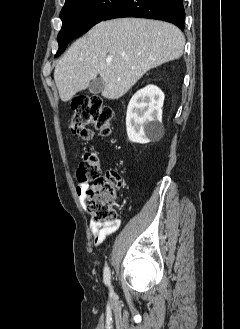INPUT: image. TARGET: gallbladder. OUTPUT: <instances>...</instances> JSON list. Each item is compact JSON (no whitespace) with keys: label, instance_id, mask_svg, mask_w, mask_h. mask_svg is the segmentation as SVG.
Masks as SVG:
<instances>
[{"label":"gallbladder","instance_id":"1","mask_svg":"<svg viewBox=\"0 0 240 329\" xmlns=\"http://www.w3.org/2000/svg\"><path fill=\"white\" fill-rule=\"evenodd\" d=\"M105 87V83L101 78H95L93 79L89 84V92L92 94H98L103 92Z\"/></svg>","mask_w":240,"mask_h":329}]
</instances>
